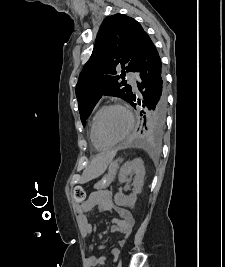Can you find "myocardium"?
<instances>
[{
	"instance_id": "myocardium-1",
	"label": "myocardium",
	"mask_w": 225,
	"mask_h": 267,
	"mask_svg": "<svg viewBox=\"0 0 225 267\" xmlns=\"http://www.w3.org/2000/svg\"><path fill=\"white\" fill-rule=\"evenodd\" d=\"M111 109H121V110L125 111V113L128 116V119H129V125H128V128H127V131L125 132V134L120 139H117V140H114V141H107L101 135L100 122H101L103 116ZM133 127H134V116H133L131 110L127 106H125L123 104H120V103H112V104H108V105L104 106L100 110V112L98 113V115H97V117L95 119V122H94V132H95L96 138L101 143H103L105 145H108V146H115V145H118V144L124 142L128 138V136L130 135Z\"/></svg>"
}]
</instances>
